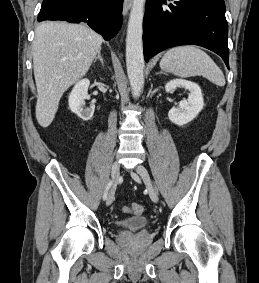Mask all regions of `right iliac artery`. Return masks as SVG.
Wrapping results in <instances>:
<instances>
[{"label": "right iliac artery", "instance_id": "obj_1", "mask_svg": "<svg viewBox=\"0 0 259 283\" xmlns=\"http://www.w3.org/2000/svg\"><path fill=\"white\" fill-rule=\"evenodd\" d=\"M113 184V181H109L105 187V191H104V194H103V200H106L107 199V196H108V192H109V189L111 188Z\"/></svg>", "mask_w": 259, "mask_h": 283}]
</instances>
